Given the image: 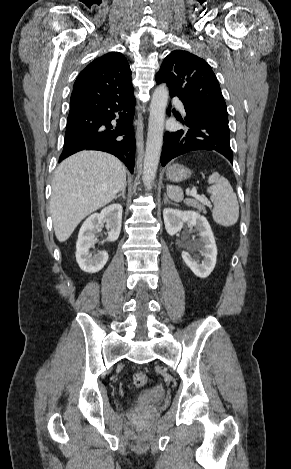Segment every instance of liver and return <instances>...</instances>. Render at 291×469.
<instances>
[{
  "label": "liver",
  "mask_w": 291,
  "mask_h": 469,
  "mask_svg": "<svg viewBox=\"0 0 291 469\" xmlns=\"http://www.w3.org/2000/svg\"><path fill=\"white\" fill-rule=\"evenodd\" d=\"M126 184V168L116 157L82 151L57 168L50 199L55 235L66 241L89 214L110 203Z\"/></svg>",
  "instance_id": "1"
}]
</instances>
